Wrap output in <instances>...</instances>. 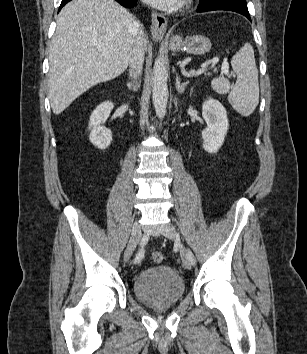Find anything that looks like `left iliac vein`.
I'll return each instance as SVG.
<instances>
[{"label":"left iliac vein","mask_w":307,"mask_h":354,"mask_svg":"<svg viewBox=\"0 0 307 354\" xmlns=\"http://www.w3.org/2000/svg\"><path fill=\"white\" fill-rule=\"evenodd\" d=\"M163 234L165 237H167L169 239H173L177 242V244L179 245V248H180V256H181V260L183 262V265L186 269L190 270L191 269V260H190L189 253L187 252L186 248L184 247V245L180 241V238L177 234L175 227L172 225H168L163 230Z\"/></svg>","instance_id":"1"}]
</instances>
